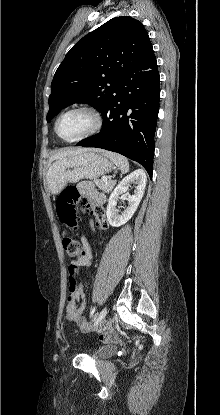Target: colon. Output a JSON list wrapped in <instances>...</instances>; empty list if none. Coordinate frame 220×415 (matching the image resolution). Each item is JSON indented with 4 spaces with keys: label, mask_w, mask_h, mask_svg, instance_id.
<instances>
[{
    "label": "colon",
    "mask_w": 220,
    "mask_h": 415,
    "mask_svg": "<svg viewBox=\"0 0 220 415\" xmlns=\"http://www.w3.org/2000/svg\"><path fill=\"white\" fill-rule=\"evenodd\" d=\"M81 195L79 190L76 187L70 186L64 189L56 202V211L61 223L68 229L76 230L78 227L75 203L80 199ZM93 212L96 217H103L105 215V209L103 206L95 205L93 206ZM63 248L67 257L71 262H76L80 259L82 254V249L80 244L69 236H64L62 240ZM76 271L70 270L69 278V294L68 300H72V295L76 292L78 283L75 278ZM113 335L108 332L101 333L99 335L100 339H111Z\"/></svg>",
    "instance_id": "obj_1"
}]
</instances>
